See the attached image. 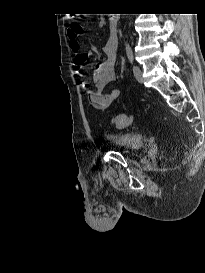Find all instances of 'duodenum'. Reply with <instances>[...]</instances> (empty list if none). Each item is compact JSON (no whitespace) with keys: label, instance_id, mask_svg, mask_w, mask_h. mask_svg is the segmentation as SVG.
I'll list each match as a JSON object with an SVG mask.
<instances>
[{"label":"duodenum","instance_id":"obj_1","mask_svg":"<svg viewBox=\"0 0 205 273\" xmlns=\"http://www.w3.org/2000/svg\"><path fill=\"white\" fill-rule=\"evenodd\" d=\"M118 15L117 14H112L109 16V26L115 30L116 27H117V23H118ZM113 40L115 41L116 40V37L114 36L113 37Z\"/></svg>","mask_w":205,"mask_h":273}]
</instances>
